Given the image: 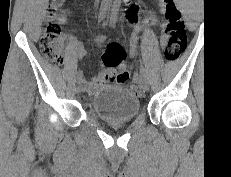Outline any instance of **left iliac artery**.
<instances>
[{"instance_id": "left-iliac-artery-1", "label": "left iliac artery", "mask_w": 231, "mask_h": 177, "mask_svg": "<svg viewBox=\"0 0 231 177\" xmlns=\"http://www.w3.org/2000/svg\"><path fill=\"white\" fill-rule=\"evenodd\" d=\"M139 66H140V72H141V74H142L143 76H146V75H147V71H146V69H145V67H144V63H143V62H140V63H139Z\"/></svg>"}]
</instances>
